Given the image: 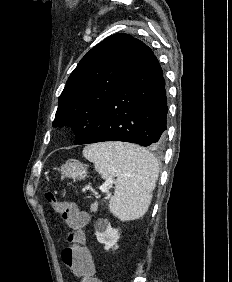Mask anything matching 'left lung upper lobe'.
<instances>
[{
	"label": "left lung upper lobe",
	"instance_id": "left-lung-upper-lobe-1",
	"mask_svg": "<svg viewBox=\"0 0 232 282\" xmlns=\"http://www.w3.org/2000/svg\"><path fill=\"white\" fill-rule=\"evenodd\" d=\"M146 45L129 34H114L78 63L58 99L53 125L70 126L76 140L94 126L110 98L135 68Z\"/></svg>",
	"mask_w": 232,
	"mask_h": 282
}]
</instances>
